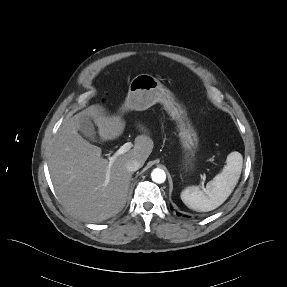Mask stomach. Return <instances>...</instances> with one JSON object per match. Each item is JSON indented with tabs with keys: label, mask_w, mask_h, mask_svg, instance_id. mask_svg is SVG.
I'll list each match as a JSON object with an SVG mask.
<instances>
[{
	"label": "stomach",
	"mask_w": 287,
	"mask_h": 287,
	"mask_svg": "<svg viewBox=\"0 0 287 287\" xmlns=\"http://www.w3.org/2000/svg\"><path fill=\"white\" fill-rule=\"evenodd\" d=\"M160 102L172 120L177 123L180 143L184 150L186 168H193V161L198 147V136L188 118L186 108L180 104L173 93L157 78L150 74H139L134 77L128 89L122 110H146Z\"/></svg>",
	"instance_id": "obj_1"
}]
</instances>
